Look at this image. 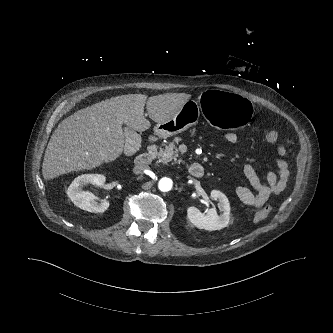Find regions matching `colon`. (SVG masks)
Masks as SVG:
<instances>
[{"label": "colon", "mask_w": 333, "mask_h": 333, "mask_svg": "<svg viewBox=\"0 0 333 333\" xmlns=\"http://www.w3.org/2000/svg\"><path fill=\"white\" fill-rule=\"evenodd\" d=\"M278 139H279V135L274 130L268 131L265 134V141L268 143H275L278 141ZM272 209H273V202L267 201L265 203V205L263 206V208L255 214V219L257 221H261V220L265 219L270 214Z\"/></svg>", "instance_id": "1"}]
</instances>
